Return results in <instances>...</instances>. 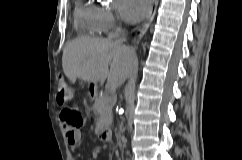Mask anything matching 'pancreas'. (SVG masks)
<instances>
[{
    "label": "pancreas",
    "instance_id": "obj_1",
    "mask_svg": "<svg viewBox=\"0 0 242 160\" xmlns=\"http://www.w3.org/2000/svg\"><path fill=\"white\" fill-rule=\"evenodd\" d=\"M92 110L95 114V133L98 134L103 128L112 123V105L109 97L96 96Z\"/></svg>",
    "mask_w": 242,
    "mask_h": 160
}]
</instances>
